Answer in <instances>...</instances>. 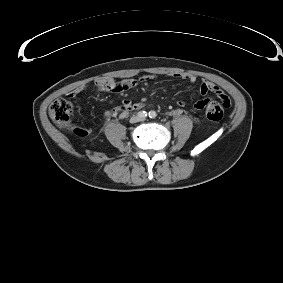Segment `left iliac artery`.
Segmentation results:
<instances>
[{
  "instance_id": "1",
  "label": "left iliac artery",
  "mask_w": 283,
  "mask_h": 283,
  "mask_svg": "<svg viewBox=\"0 0 283 283\" xmlns=\"http://www.w3.org/2000/svg\"><path fill=\"white\" fill-rule=\"evenodd\" d=\"M156 116H157V114H156L155 111H150V112H149V117H150L151 119H154Z\"/></svg>"
}]
</instances>
